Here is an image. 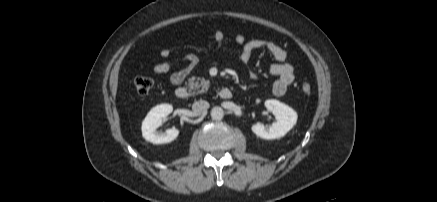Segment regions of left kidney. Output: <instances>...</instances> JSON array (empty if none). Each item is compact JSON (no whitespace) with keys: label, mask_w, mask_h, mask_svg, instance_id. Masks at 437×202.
Returning <instances> with one entry per match:
<instances>
[{"label":"left kidney","mask_w":437,"mask_h":202,"mask_svg":"<svg viewBox=\"0 0 437 202\" xmlns=\"http://www.w3.org/2000/svg\"><path fill=\"white\" fill-rule=\"evenodd\" d=\"M265 106L274 114L277 122H274L269 128L261 123L254 124L251 127L253 133L266 140L285 136L296 124L297 113L291 107L274 99L266 100Z\"/></svg>","instance_id":"1"}]
</instances>
